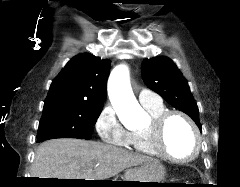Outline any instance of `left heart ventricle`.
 <instances>
[{"instance_id": "obj_1", "label": "left heart ventricle", "mask_w": 240, "mask_h": 187, "mask_svg": "<svg viewBox=\"0 0 240 187\" xmlns=\"http://www.w3.org/2000/svg\"><path fill=\"white\" fill-rule=\"evenodd\" d=\"M195 138L187 122L179 117H171L164 130V147L174 157L187 158L194 151Z\"/></svg>"}]
</instances>
